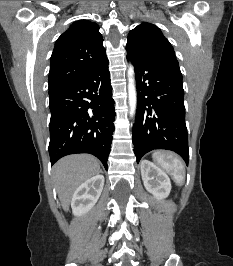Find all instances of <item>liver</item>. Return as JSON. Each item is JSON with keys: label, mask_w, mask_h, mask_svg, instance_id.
I'll list each match as a JSON object with an SVG mask.
<instances>
[{"label": "liver", "mask_w": 233, "mask_h": 266, "mask_svg": "<svg viewBox=\"0 0 233 266\" xmlns=\"http://www.w3.org/2000/svg\"><path fill=\"white\" fill-rule=\"evenodd\" d=\"M99 172V161L87 154L69 155L54 165L52 175L64 211H68L76 189Z\"/></svg>", "instance_id": "obj_1"}]
</instances>
